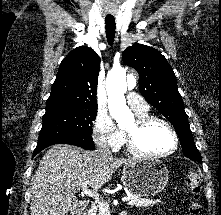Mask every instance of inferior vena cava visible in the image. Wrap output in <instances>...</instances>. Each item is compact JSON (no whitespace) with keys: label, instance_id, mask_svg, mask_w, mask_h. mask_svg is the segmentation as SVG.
I'll list each match as a JSON object with an SVG mask.
<instances>
[{"label":"inferior vena cava","instance_id":"inferior-vena-cava-1","mask_svg":"<svg viewBox=\"0 0 221 215\" xmlns=\"http://www.w3.org/2000/svg\"><path fill=\"white\" fill-rule=\"evenodd\" d=\"M97 152L101 155H111L110 148L106 143H99Z\"/></svg>","mask_w":221,"mask_h":215}]
</instances>
